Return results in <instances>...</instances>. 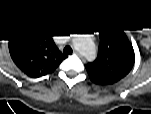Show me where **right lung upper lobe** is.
I'll return each mask as SVG.
<instances>
[{"label":"right lung upper lobe","instance_id":"right-lung-upper-lobe-1","mask_svg":"<svg viewBox=\"0 0 151 114\" xmlns=\"http://www.w3.org/2000/svg\"><path fill=\"white\" fill-rule=\"evenodd\" d=\"M9 50L14 63L33 78L52 73L66 58L45 30L16 34Z\"/></svg>","mask_w":151,"mask_h":114}]
</instances>
